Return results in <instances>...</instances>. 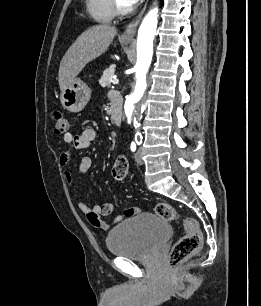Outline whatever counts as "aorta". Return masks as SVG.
Here are the masks:
<instances>
[{"label":"aorta","mask_w":261,"mask_h":306,"mask_svg":"<svg viewBox=\"0 0 261 306\" xmlns=\"http://www.w3.org/2000/svg\"><path fill=\"white\" fill-rule=\"evenodd\" d=\"M158 24V9L154 8L144 17L137 38L136 85L134 92L126 99L125 115L128 121L139 113L140 100L146 89V74L153 56V41Z\"/></svg>","instance_id":"1"}]
</instances>
